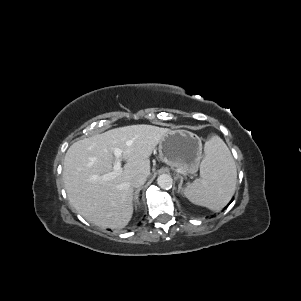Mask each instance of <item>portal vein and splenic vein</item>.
I'll return each mask as SVG.
<instances>
[{
  "instance_id": "portal-vein-and-splenic-vein-1",
  "label": "portal vein and splenic vein",
  "mask_w": 301,
  "mask_h": 301,
  "mask_svg": "<svg viewBox=\"0 0 301 301\" xmlns=\"http://www.w3.org/2000/svg\"><path fill=\"white\" fill-rule=\"evenodd\" d=\"M113 152H114V156H115V162H114V165H113V171L104 174L101 177L103 180L113 179L116 176H118L121 173V171H122V168H121L122 151L119 148H114Z\"/></svg>"
}]
</instances>
